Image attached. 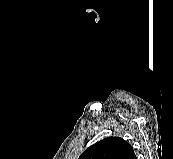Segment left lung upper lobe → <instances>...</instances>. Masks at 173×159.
Returning a JSON list of instances; mask_svg holds the SVG:
<instances>
[{
	"mask_svg": "<svg viewBox=\"0 0 173 159\" xmlns=\"http://www.w3.org/2000/svg\"><path fill=\"white\" fill-rule=\"evenodd\" d=\"M79 159H136L134 150L120 137H107L85 150Z\"/></svg>",
	"mask_w": 173,
	"mask_h": 159,
	"instance_id": "obj_1",
	"label": "left lung upper lobe"
}]
</instances>
